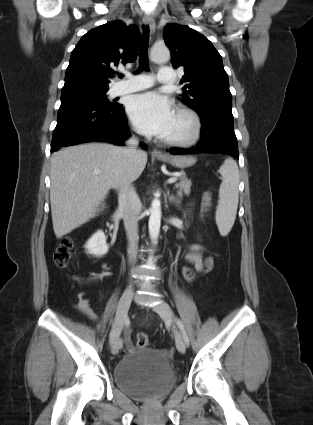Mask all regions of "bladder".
<instances>
[{
	"instance_id": "obj_1",
	"label": "bladder",
	"mask_w": 313,
	"mask_h": 425,
	"mask_svg": "<svg viewBox=\"0 0 313 425\" xmlns=\"http://www.w3.org/2000/svg\"><path fill=\"white\" fill-rule=\"evenodd\" d=\"M116 386L138 400L166 395L176 382L170 358L164 350L140 348L124 355L114 367Z\"/></svg>"
}]
</instances>
